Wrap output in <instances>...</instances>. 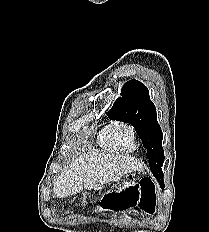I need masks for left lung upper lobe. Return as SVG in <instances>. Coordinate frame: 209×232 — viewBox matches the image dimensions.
<instances>
[{
  "mask_svg": "<svg viewBox=\"0 0 209 232\" xmlns=\"http://www.w3.org/2000/svg\"><path fill=\"white\" fill-rule=\"evenodd\" d=\"M107 115L110 119L129 123L136 129L143 145L147 148L150 169L162 185L163 134L147 87L137 80L125 83L121 90V97L114 102Z\"/></svg>",
  "mask_w": 209,
  "mask_h": 232,
  "instance_id": "5c2ea615",
  "label": "left lung upper lobe"
}]
</instances>
